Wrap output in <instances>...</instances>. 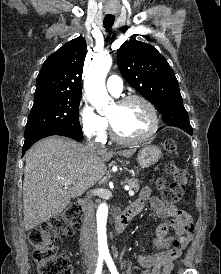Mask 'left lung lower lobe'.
Instances as JSON below:
<instances>
[{
	"label": "left lung lower lobe",
	"mask_w": 221,
	"mask_h": 274,
	"mask_svg": "<svg viewBox=\"0 0 221 274\" xmlns=\"http://www.w3.org/2000/svg\"><path fill=\"white\" fill-rule=\"evenodd\" d=\"M163 120L167 125L181 128L189 135L193 134L192 127L189 123L187 111L183 106L179 109H173L172 111H170L169 114H166L164 116ZM176 120H179V122H176Z\"/></svg>",
	"instance_id": "left-lung-lower-lobe-1"
}]
</instances>
